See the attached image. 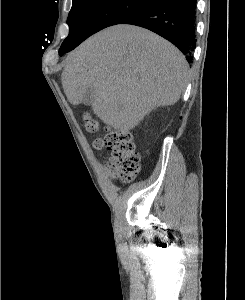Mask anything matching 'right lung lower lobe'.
Masks as SVG:
<instances>
[{
	"label": "right lung lower lobe",
	"mask_w": 245,
	"mask_h": 300,
	"mask_svg": "<svg viewBox=\"0 0 245 300\" xmlns=\"http://www.w3.org/2000/svg\"><path fill=\"white\" fill-rule=\"evenodd\" d=\"M121 24L137 25L157 33L172 42L191 62L196 47V0H154Z\"/></svg>",
	"instance_id": "1"
}]
</instances>
